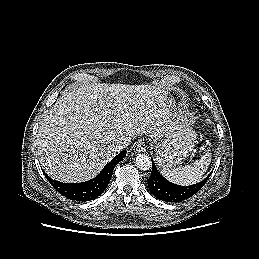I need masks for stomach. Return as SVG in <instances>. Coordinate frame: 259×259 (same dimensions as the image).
Masks as SVG:
<instances>
[{
	"instance_id": "0dacf381",
	"label": "stomach",
	"mask_w": 259,
	"mask_h": 259,
	"mask_svg": "<svg viewBox=\"0 0 259 259\" xmlns=\"http://www.w3.org/2000/svg\"><path fill=\"white\" fill-rule=\"evenodd\" d=\"M173 124L166 130L164 138L156 144V162L161 168H174L188 156L195 143L196 134L183 122L177 110H171Z\"/></svg>"
}]
</instances>
